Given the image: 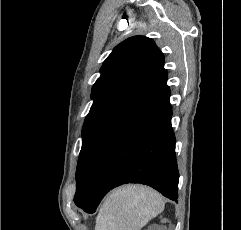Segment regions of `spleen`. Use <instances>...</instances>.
<instances>
[{
    "mask_svg": "<svg viewBox=\"0 0 241 230\" xmlns=\"http://www.w3.org/2000/svg\"><path fill=\"white\" fill-rule=\"evenodd\" d=\"M162 196L140 185H126L112 191L96 218L95 230H140L164 209Z\"/></svg>",
    "mask_w": 241,
    "mask_h": 230,
    "instance_id": "obj_1",
    "label": "spleen"
}]
</instances>
